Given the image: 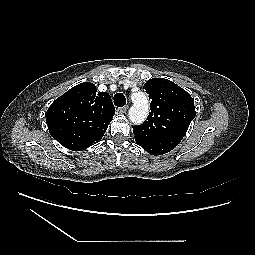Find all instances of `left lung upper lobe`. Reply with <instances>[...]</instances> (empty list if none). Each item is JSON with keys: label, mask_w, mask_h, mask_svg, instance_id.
Here are the masks:
<instances>
[{"label": "left lung upper lobe", "mask_w": 255, "mask_h": 255, "mask_svg": "<svg viewBox=\"0 0 255 255\" xmlns=\"http://www.w3.org/2000/svg\"><path fill=\"white\" fill-rule=\"evenodd\" d=\"M151 99L147 120L133 126L136 138H173L182 140L195 118L194 100L184 89L170 80L153 78L144 84Z\"/></svg>", "instance_id": "1"}]
</instances>
